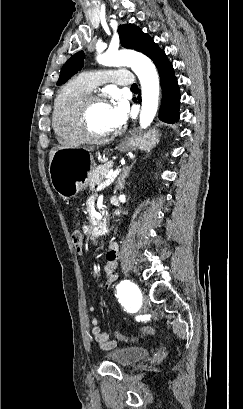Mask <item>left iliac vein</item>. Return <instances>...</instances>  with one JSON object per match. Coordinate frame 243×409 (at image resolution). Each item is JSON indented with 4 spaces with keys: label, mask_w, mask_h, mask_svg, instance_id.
I'll list each match as a JSON object with an SVG mask.
<instances>
[{
    "label": "left iliac vein",
    "mask_w": 243,
    "mask_h": 409,
    "mask_svg": "<svg viewBox=\"0 0 243 409\" xmlns=\"http://www.w3.org/2000/svg\"><path fill=\"white\" fill-rule=\"evenodd\" d=\"M143 309L144 310H147L148 309V300H147V298L144 296L143 297Z\"/></svg>",
    "instance_id": "obj_1"
}]
</instances>
